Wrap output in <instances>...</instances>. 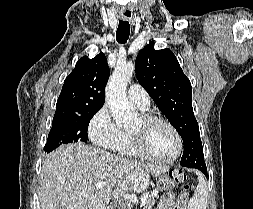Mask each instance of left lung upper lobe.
I'll use <instances>...</instances> for the list:
<instances>
[{"label": "left lung upper lobe", "mask_w": 253, "mask_h": 209, "mask_svg": "<svg viewBox=\"0 0 253 209\" xmlns=\"http://www.w3.org/2000/svg\"><path fill=\"white\" fill-rule=\"evenodd\" d=\"M138 82L183 139L180 164L195 168L204 161L199 126L192 107V88L178 60L170 49L155 50L154 41L136 57Z\"/></svg>", "instance_id": "1"}]
</instances>
